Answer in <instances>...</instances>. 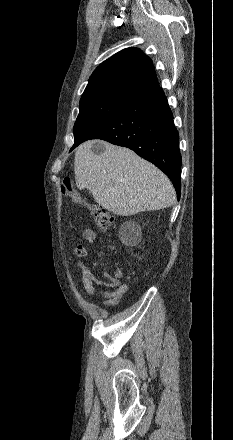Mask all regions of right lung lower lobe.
<instances>
[{
	"label": "right lung lower lobe",
	"instance_id": "98d812e1",
	"mask_svg": "<svg viewBox=\"0 0 233 440\" xmlns=\"http://www.w3.org/2000/svg\"><path fill=\"white\" fill-rule=\"evenodd\" d=\"M102 139L135 151L161 169L173 182L178 200L181 193L179 134L163 90L157 87L132 99L102 126L76 145Z\"/></svg>",
	"mask_w": 233,
	"mask_h": 440
}]
</instances>
